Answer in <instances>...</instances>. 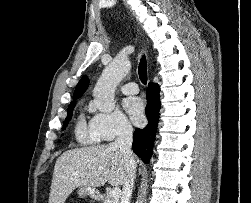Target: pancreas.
Masks as SVG:
<instances>
[{"label": "pancreas", "instance_id": "obj_1", "mask_svg": "<svg viewBox=\"0 0 251 203\" xmlns=\"http://www.w3.org/2000/svg\"><path fill=\"white\" fill-rule=\"evenodd\" d=\"M103 203H116L114 199L110 198L108 195L103 200Z\"/></svg>", "mask_w": 251, "mask_h": 203}]
</instances>
